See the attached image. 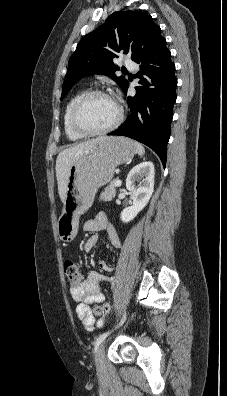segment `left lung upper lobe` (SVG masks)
<instances>
[{
    "mask_svg": "<svg viewBox=\"0 0 227 396\" xmlns=\"http://www.w3.org/2000/svg\"><path fill=\"white\" fill-rule=\"evenodd\" d=\"M160 27L150 15L141 11H119L111 14L106 22L87 34L72 54L63 83L61 99L82 77L104 74L122 89L128 81L114 73L119 68L113 63L117 53L131 54L134 61L161 36Z\"/></svg>",
    "mask_w": 227,
    "mask_h": 396,
    "instance_id": "obj_1",
    "label": "left lung upper lobe"
}]
</instances>
